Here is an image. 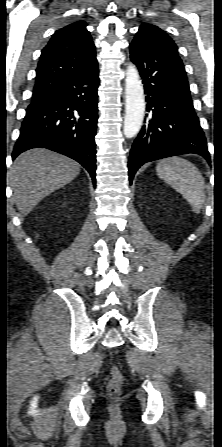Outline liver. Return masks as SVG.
I'll use <instances>...</instances> for the list:
<instances>
[{
	"label": "liver",
	"instance_id": "1",
	"mask_svg": "<svg viewBox=\"0 0 222 447\" xmlns=\"http://www.w3.org/2000/svg\"><path fill=\"white\" fill-rule=\"evenodd\" d=\"M80 172V165L46 149L22 153L10 170L13 198L18 210L28 215L55 190L70 183Z\"/></svg>",
	"mask_w": 222,
	"mask_h": 447
}]
</instances>
